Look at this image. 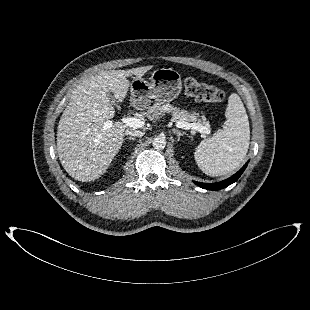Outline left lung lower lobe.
<instances>
[{"label":"left lung lower lobe","mask_w":310,"mask_h":310,"mask_svg":"<svg viewBox=\"0 0 310 310\" xmlns=\"http://www.w3.org/2000/svg\"><path fill=\"white\" fill-rule=\"evenodd\" d=\"M248 163H246L237 173H235L233 176H231L230 178L218 182V183H201V182H195L194 183L204 189L207 190H220L223 189L227 186H229L230 184L236 182L238 180V178L241 176V174L244 172L245 168L247 167Z\"/></svg>","instance_id":"obj_1"}]
</instances>
